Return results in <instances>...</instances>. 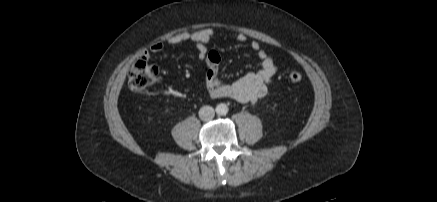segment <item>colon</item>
<instances>
[{"instance_id": "1", "label": "colon", "mask_w": 437, "mask_h": 202, "mask_svg": "<svg viewBox=\"0 0 437 202\" xmlns=\"http://www.w3.org/2000/svg\"><path fill=\"white\" fill-rule=\"evenodd\" d=\"M288 78L290 81L297 83L302 80V74L298 71H292L289 73ZM158 79V67L140 60L132 66L129 72L128 87L130 91L138 93L156 83Z\"/></svg>"}]
</instances>
